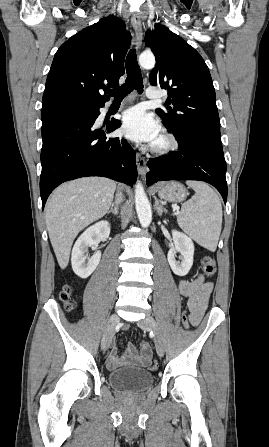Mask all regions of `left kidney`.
Segmentation results:
<instances>
[{"label":"left kidney","mask_w":269,"mask_h":447,"mask_svg":"<svg viewBox=\"0 0 269 447\" xmlns=\"http://www.w3.org/2000/svg\"><path fill=\"white\" fill-rule=\"evenodd\" d=\"M172 237L174 247H170L167 253L169 265L176 275H186L193 265L194 243L191 237H188L182 231H176V229H172ZM177 251L181 253L180 259L182 261H177Z\"/></svg>","instance_id":"1"}]
</instances>
